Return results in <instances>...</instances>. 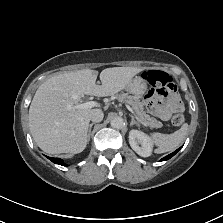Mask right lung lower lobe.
Instances as JSON below:
<instances>
[{
	"label": "right lung lower lobe",
	"instance_id": "right-lung-lower-lobe-1",
	"mask_svg": "<svg viewBox=\"0 0 223 223\" xmlns=\"http://www.w3.org/2000/svg\"><path fill=\"white\" fill-rule=\"evenodd\" d=\"M47 158L50 159L55 164L67 166V164H65L60 158H53V157H47Z\"/></svg>",
	"mask_w": 223,
	"mask_h": 223
}]
</instances>
